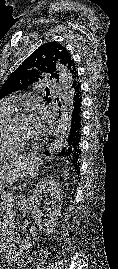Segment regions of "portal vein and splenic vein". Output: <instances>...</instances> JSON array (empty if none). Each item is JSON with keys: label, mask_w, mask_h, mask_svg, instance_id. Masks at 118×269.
Returning a JSON list of instances; mask_svg holds the SVG:
<instances>
[{"label": "portal vein and splenic vein", "mask_w": 118, "mask_h": 269, "mask_svg": "<svg viewBox=\"0 0 118 269\" xmlns=\"http://www.w3.org/2000/svg\"><path fill=\"white\" fill-rule=\"evenodd\" d=\"M22 186H23V187H25V186H26V184H23Z\"/></svg>", "instance_id": "obj_1"}]
</instances>
